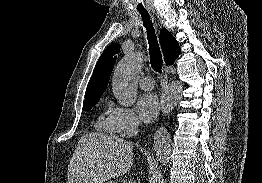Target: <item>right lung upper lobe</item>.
Wrapping results in <instances>:
<instances>
[{
	"label": "right lung upper lobe",
	"mask_w": 262,
	"mask_h": 183,
	"mask_svg": "<svg viewBox=\"0 0 262 183\" xmlns=\"http://www.w3.org/2000/svg\"><path fill=\"white\" fill-rule=\"evenodd\" d=\"M160 43L165 63L172 65L181 53L178 42L167 29L162 28L160 31ZM119 51L120 44H112L103 51L87 85L85 101L99 99L102 96L116 61L115 54L119 53Z\"/></svg>",
	"instance_id": "right-lung-upper-lobe-1"
}]
</instances>
